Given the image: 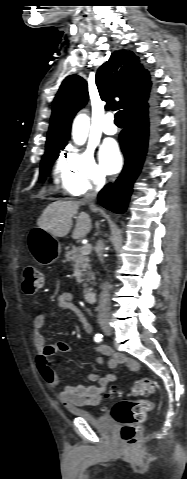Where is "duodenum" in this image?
Listing matches in <instances>:
<instances>
[{
    "label": "duodenum",
    "instance_id": "obj_1",
    "mask_svg": "<svg viewBox=\"0 0 187 479\" xmlns=\"http://www.w3.org/2000/svg\"><path fill=\"white\" fill-rule=\"evenodd\" d=\"M97 299V293L94 290H88L85 292V300L89 304H94Z\"/></svg>",
    "mask_w": 187,
    "mask_h": 479
}]
</instances>
